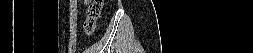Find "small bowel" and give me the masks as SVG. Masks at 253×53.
Returning <instances> with one entry per match:
<instances>
[{
    "mask_svg": "<svg viewBox=\"0 0 253 53\" xmlns=\"http://www.w3.org/2000/svg\"><path fill=\"white\" fill-rule=\"evenodd\" d=\"M84 3H85V4H88V3H89V1H88V0H85V1H84Z\"/></svg>",
    "mask_w": 253,
    "mask_h": 53,
    "instance_id": "small-bowel-1",
    "label": "small bowel"
}]
</instances>
